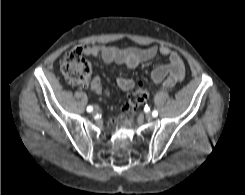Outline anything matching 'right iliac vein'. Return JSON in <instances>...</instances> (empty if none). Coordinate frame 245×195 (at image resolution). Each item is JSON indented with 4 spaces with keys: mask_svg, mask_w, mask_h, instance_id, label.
Wrapping results in <instances>:
<instances>
[{
    "mask_svg": "<svg viewBox=\"0 0 245 195\" xmlns=\"http://www.w3.org/2000/svg\"><path fill=\"white\" fill-rule=\"evenodd\" d=\"M99 112V108L96 106L93 110V114H97Z\"/></svg>",
    "mask_w": 245,
    "mask_h": 195,
    "instance_id": "right-iliac-vein-1",
    "label": "right iliac vein"
}]
</instances>
